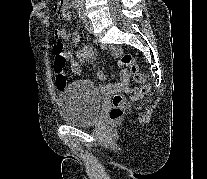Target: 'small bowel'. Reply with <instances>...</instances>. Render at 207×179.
Listing matches in <instances>:
<instances>
[{
	"label": "small bowel",
	"instance_id": "small-bowel-1",
	"mask_svg": "<svg viewBox=\"0 0 207 179\" xmlns=\"http://www.w3.org/2000/svg\"><path fill=\"white\" fill-rule=\"evenodd\" d=\"M71 18V12L68 9V0H67V9L61 16V20L68 21ZM55 34L59 35L61 38L69 39L72 38L75 43H78V36L76 33L70 35L65 29H59L55 32ZM104 49H107L111 52V54L118 58L123 55L122 49L114 46H103ZM65 56L70 60V68L74 75H81L82 69L80 63L92 60L95 58L94 50L87 44H79L78 49L75 53V56L72 55L70 51L65 52ZM97 77L100 81H104L106 79V75L104 72L99 71L97 73ZM130 81V73L126 69H122L119 75V81L110 82L106 84H102L100 86V90L103 92H110L117 88H127Z\"/></svg>",
	"mask_w": 207,
	"mask_h": 179
}]
</instances>
